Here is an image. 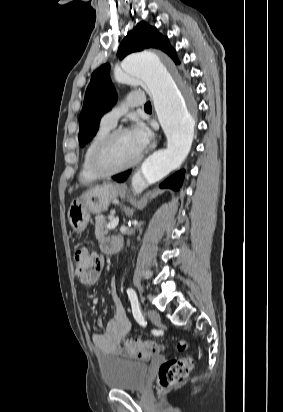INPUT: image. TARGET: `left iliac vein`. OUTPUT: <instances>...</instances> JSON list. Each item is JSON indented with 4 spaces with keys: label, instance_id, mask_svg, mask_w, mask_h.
Masks as SVG:
<instances>
[{
    "label": "left iliac vein",
    "instance_id": "4c4485c4",
    "mask_svg": "<svg viewBox=\"0 0 283 412\" xmlns=\"http://www.w3.org/2000/svg\"><path fill=\"white\" fill-rule=\"evenodd\" d=\"M147 315L150 318V320L154 322L155 324H159L161 322L160 315L156 310H153V309L148 310Z\"/></svg>",
    "mask_w": 283,
    "mask_h": 412
}]
</instances>
